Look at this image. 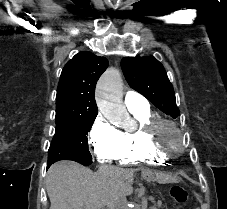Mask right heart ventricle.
Listing matches in <instances>:
<instances>
[{"instance_id":"e07e8e85","label":"right heart ventricle","mask_w":227,"mask_h":209,"mask_svg":"<svg viewBox=\"0 0 227 209\" xmlns=\"http://www.w3.org/2000/svg\"><path fill=\"white\" fill-rule=\"evenodd\" d=\"M137 128L133 131H121V144L115 155L114 160L119 165L137 166L142 164H157L168 159L165 155L149 147L143 137L142 125L154 117V114L148 106L143 108L129 109Z\"/></svg>"}]
</instances>
